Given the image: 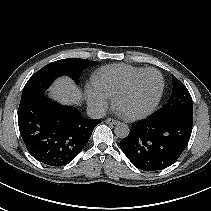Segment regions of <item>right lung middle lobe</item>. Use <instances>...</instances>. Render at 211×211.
<instances>
[{
  "label": "right lung middle lobe",
  "mask_w": 211,
  "mask_h": 211,
  "mask_svg": "<svg viewBox=\"0 0 211 211\" xmlns=\"http://www.w3.org/2000/svg\"><path fill=\"white\" fill-rule=\"evenodd\" d=\"M96 64L97 62L95 61L78 58L61 59L49 63L33 74L27 81L22 92L21 101L31 96L44 93L50 84L59 76L67 75L78 83L80 73L84 69Z\"/></svg>",
  "instance_id": "dd1d6c3e"
}]
</instances>
